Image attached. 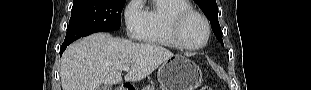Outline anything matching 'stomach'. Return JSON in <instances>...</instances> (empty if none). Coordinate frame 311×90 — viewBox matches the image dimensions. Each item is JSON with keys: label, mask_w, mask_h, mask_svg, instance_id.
<instances>
[{"label": "stomach", "mask_w": 311, "mask_h": 90, "mask_svg": "<svg viewBox=\"0 0 311 90\" xmlns=\"http://www.w3.org/2000/svg\"><path fill=\"white\" fill-rule=\"evenodd\" d=\"M157 77L161 90H195L202 83L199 67L182 55H175L163 62Z\"/></svg>", "instance_id": "1"}]
</instances>
